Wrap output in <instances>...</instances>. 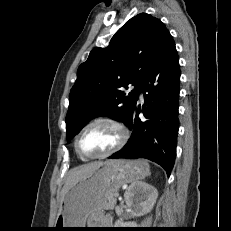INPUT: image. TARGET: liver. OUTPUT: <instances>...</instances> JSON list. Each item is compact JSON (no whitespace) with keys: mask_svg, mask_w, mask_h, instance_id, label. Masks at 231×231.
I'll return each mask as SVG.
<instances>
[{"mask_svg":"<svg viewBox=\"0 0 231 231\" xmlns=\"http://www.w3.org/2000/svg\"><path fill=\"white\" fill-rule=\"evenodd\" d=\"M104 164H105V162L98 161V162L85 164V165H82V166H79L77 168L72 169L69 172L68 177L66 179V182H65V184H64V186L62 188L60 202L62 203L65 195L68 192V190L73 185H75L80 180L92 175L98 168H100Z\"/></svg>","mask_w":231,"mask_h":231,"instance_id":"6515ba94","label":"liver"}]
</instances>
